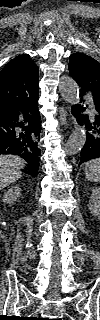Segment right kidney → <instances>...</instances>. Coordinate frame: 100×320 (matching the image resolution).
I'll return each instance as SVG.
<instances>
[{"mask_svg": "<svg viewBox=\"0 0 100 320\" xmlns=\"http://www.w3.org/2000/svg\"><path fill=\"white\" fill-rule=\"evenodd\" d=\"M22 189L18 186L11 187L3 195V201L6 203H14L21 196Z\"/></svg>", "mask_w": 100, "mask_h": 320, "instance_id": "obj_1", "label": "right kidney"}]
</instances>
